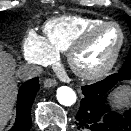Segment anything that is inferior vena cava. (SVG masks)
I'll return each instance as SVG.
<instances>
[{
  "label": "inferior vena cava",
  "instance_id": "602c4592",
  "mask_svg": "<svg viewBox=\"0 0 131 131\" xmlns=\"http://www.w3.org/2000/svg\"><path fill=\"white\" fill-rule=\"evenodd\" d=\"M41 72L42 68L40 66L34 64H25L20 67L18 76L22 80H29L40 75Z\"/></svg>",
  "mask_w": 131,
  "mask_h": 131
}]
</instances>
